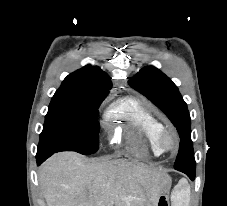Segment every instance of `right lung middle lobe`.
<instances>
[{"label":"right lung middle lobe","mask_w":227,"mask_h":206,"mask_svg":"<svg viewBox=\"0 0 227 206\" xmlns=\"http://www.w3.org/2000/svg\"><path fill=\"white\" fill-rule=\"evenodd\" d=\"M105 97L57 94L52 97L38 145L39 153L98 150V106Z\"/></svg>","instance_id":"dd1d6c3e"}]
</instances>
